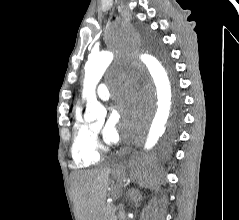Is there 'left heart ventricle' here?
Instances as JSON below:
<instances>
[{"label":"left heart ventricle","instance_id":"left-heart-ventricle-1","mask_svg":"<svg viewBox=\"0 0 239 220\" xmlns=\"http://www.w3.org/2000/svg\"><path fill=\"white\" fill-rule=\"evenodd\" d=\"M100 128H101V125H98V126L95 127V130H96V131H99Z\"/></svg>","mask_w":239,"mask_h":220}]
</instances>
